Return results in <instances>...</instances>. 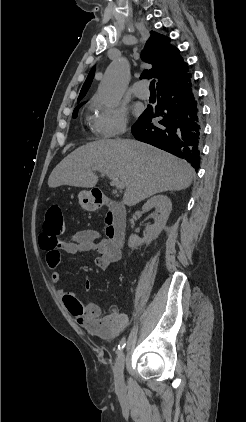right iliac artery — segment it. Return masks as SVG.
<instances>
[{
    "label": "right iliac artery",
    "mask_w": 246,
    "mask_h": 422,
    "mask_svg": "<svg viewBox=\"0 0 246 422\" xmlns=\"http://www.w3.org/2000/svg\"><path fill=\"white\" fill-rule=\"evenodd\" d=\"M126 343H125V338H122L121 341L119 342L118 345V349H117V355H119L121 353V351L123 350V348L125 347Z\"/></svg>",
    "instance_id": "obj_1"
}]
</instances>
